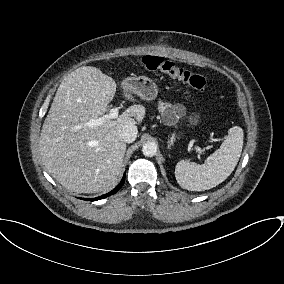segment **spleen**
Instances as JSON below:
<instances>
[{"mask_svg":"<svg viewBox=\"0 0 284 284\" xmlns=\"http://www.w3.org/2000/svg\"><path fill=\"white\" fill-rule=\"evenodd\" d=\"M243 129L234 126L220 148L201 165L181 160L175 168L178 184L187 190L204 191L222 183L235 169L243 148Z\"/></svg>","mask_w":284,"mask_h":284,"instance_id":"obj_1","label":"spleen"}]
</instances>
